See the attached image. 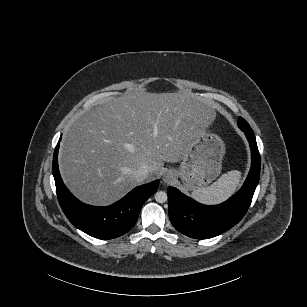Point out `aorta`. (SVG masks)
Returning a JSON list of instances; mask_svg holds the SVG:
<instances>
[{
  "mask_svg": "<svg viewBox=\"0 0 307 307\" xmlns=\"http://www.w3.org/2000/svg\"><path fill=\"white\" fill-rule=\"evenodd\" d=\"M168 199L167 194L164 191H159L155 194V200L158 203H164Z\"/></svg>",
  "mask_w": 307,
  "mask_h": 307,
  "instance_id": "obj_1",
  "label": "aorta"
}]
</instances>
